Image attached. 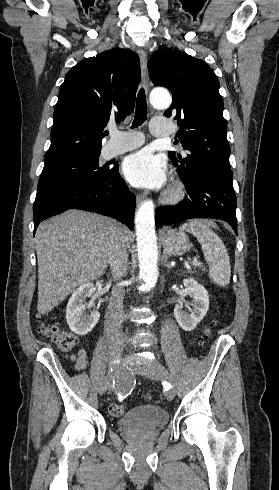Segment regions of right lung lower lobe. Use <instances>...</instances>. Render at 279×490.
Returning <instances> with one entry per match:
<instances>
[{
	"mask_svg": "<svg viewBox=\"0 0 279 490\" xmlns=\"http://www.w3.org/2000/svg\"><path fill=\"white\" fill-rule=\"evenodd\" d=\"M68 209L97 212L134 228L135 196L120 177L118 166L104 179L37 189L33 206L34 232L41 221Z\"/></svg>",
	"mask_w": 279,
	"mask_h": 490,
	"instance_id": "right-lung-lower-lobe-1",
	"label": "right lung lower lobe"
}]
</instances>
